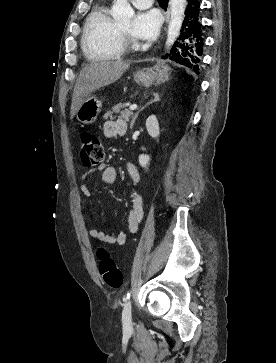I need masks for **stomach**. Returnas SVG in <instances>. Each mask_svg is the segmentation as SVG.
<instances>
[{
    "mask_svg": "<svg viewBox=\"0 0 276 363\" xmlns=\"http://www.w3.org/2000/svg\"><path fill=\"white\" fill-rule=\"evenodd\" d=\"M168 68L158 62L153 67L139 70L134 74V81L144 87L158 85L168 80ZM102 102L95 96L87 97L76 112L78 121L92 124L101 112Z\"/></svg>",
    "mask_w": 276,
    "mask_h": 363,
    "instance_id": "obj_1",
    "label": "stomach"
}]
</instances>
